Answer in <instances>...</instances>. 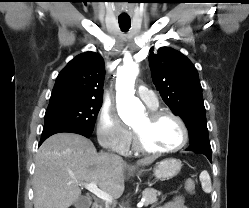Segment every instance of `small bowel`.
Wrapping results in <instances>:
<instances>
[{
	"mask_svg": "<svg viewBox=\"0 0 249 208\" xmlns=\"http://www.w3.org/2000/svg\"><path fill=\"white\" fill-rule=\"evenodd\" d=\"M157 208H187L182 197L177 196L173 200Z\"/></svg>",
	"mask_w": 249,
	"mask_h": 208,
	"instance_id": "c3829d8e",
	"label": "small bowel"
}]
</instances>
